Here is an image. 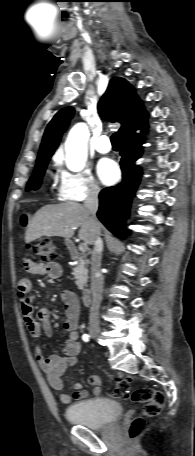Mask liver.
Wrapping results in <instances>:
<instances>
[{
	"label": "liver",
	"instance_id": "liver-1",
	"mask_svg": "<svg viewBox=\"0 0 195 456\" xmlns=\"http://www.w3.org/2000/svg\"><path fill=\"white\" fill-rule=\"evenodd\" d=\"M77 227H81L79 238L86 245H93L95 229L85 206L76 202L45 205L31 219L25 232V241L30 243L43 236H59L69 240Z\"/></svg>",
	"mask_w": 195,
	"mask_h": 456
}]
</instances>
